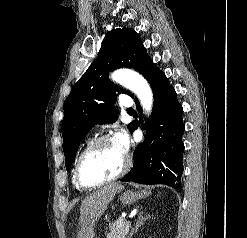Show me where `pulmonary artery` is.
I'll return each instance as SVG.
<instances>
[{
    "instance_id": "obj_1",
    "label": "pulmonary artery",
    "mask_w": 247,
    "mask_h": 238,
    "mask_svg": "<svg viewBox=\"0 0 247 238\" xmlns=\"http://www.w3.org/2000/svg\"><path fill=\"white\" fill-rule=\"evenodd\" d=\"M120 103L123 107H125L127 109H130L133 106L132 99L128 96H125V95L121 97Z\"/></svg>"
}]
</instances>
